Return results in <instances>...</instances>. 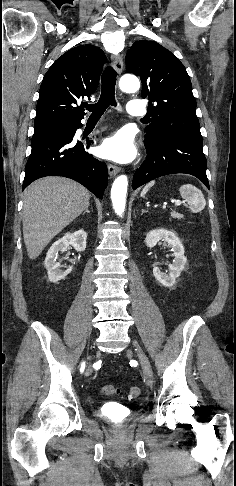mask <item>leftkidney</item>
<instances>
[{"instance_id": "1", "label": "left kidney", "mask_w": 236, "mask_h": 486, "mask_svg": "<svg viewBox=\"0 0 236 486\" xmlns=\"http://www.w3.org/2000/svg\"><path fill=\"white\" fill-rule=\"evenodd\" d=\"M165 240L173 251V263L169 265V273H163L159 267L153 268V275L159 283L165 287L175 284L176 278L180 276L184 269L187 258L184 255V247L177 235L166 229L152 230L147 233L145 243L148 247H154L159 240Z\"/></svg>"}]
</instances>
